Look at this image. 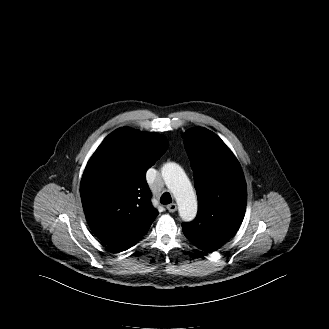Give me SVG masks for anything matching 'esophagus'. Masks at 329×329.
<instances>
[{"mask_svg":"<svg viewBox=\"0 0 329 329\" xmlns=\"http://www.w3.org/2000/svg\"><path fill=\"white\" fill-rule=\"evenodd\" d=\"M167 210L171 213L175 212L177 210V205L175 203L167 205Z\"/></svg>","mask_w":329,"mask_h":329,"instance_id":"34e87169","label":"esophagus"}]
</instances>
